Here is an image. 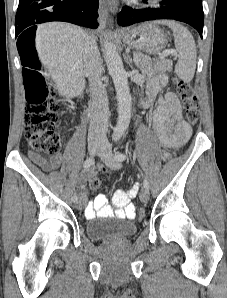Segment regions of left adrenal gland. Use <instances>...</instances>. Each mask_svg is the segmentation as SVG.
<instances>
[{
	"mask_svg": "<svg viewBox=\"0 0 227 298\" xmlns=\"http://www.w3.org/2000/svg\"><path fill=\"white\" fill-rule=\"evenodd\" d=\"M128 63L131 64L132 60L130 59L129 55H128Z\"/></svg>",
	"mask_w": 227,
	"mask_h": 298,
	"instance_id": "obj_1",
	"label": "left adrenal gland"
}]
</instances>
